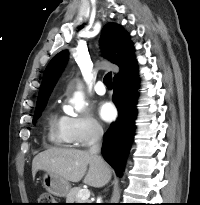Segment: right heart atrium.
Instances as JSON below:
<instances>
[{
    "label": "right heart atrium",
    "mask_w": 200,
    "mask_h": 205,
    "mask_svg": "<svg viewBox=\"0 0 200 205\" xmlns=\"http://www.w3.org/2000/svg\"><path fill=\"white\" fill-rule=\"evenodd\" d=\"M62 126L66 140L76 146H86L104 133L101 123L87 113L64 116Z\"/></svg>",
    "instance_id": "right-heart-atrium-1"
}]
</instances>
